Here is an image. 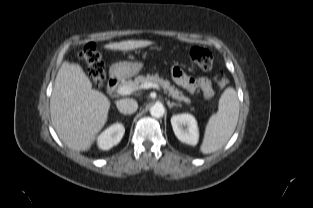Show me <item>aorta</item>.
<instances>
[{
    "instance_id": "762f6f07",
    "label": "aorta",
    "mask_w": 313,
    "mask_h": 208,
    "mask_svg": "<svg viewBox=\"0 0 313 208\" xmlns=\"http://www.w3.org/2000/svg\"><path fill=\"white\" fill-rule=\"evenodd\" d=\"M165 113V108L163 104L161 103H155L151 108H150V114L155 117V118H160L164 115Z\"/></svg>"
}]
</instances>
